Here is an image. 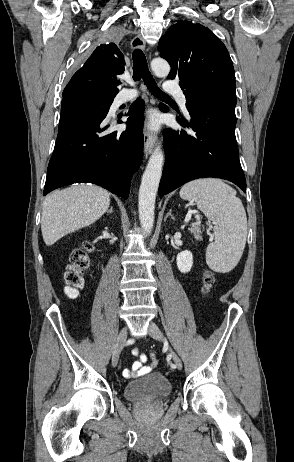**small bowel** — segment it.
Masks as SVG:
<instances>
[{
	"label": "small bowel",
	"mask_w": 294,
	"mask_h": 462,
	"mask_svg": "<svg viewBox=\"0 0 294 462\" xmlns=\"http://www.w3.org/2000/svg\"><path fill=\"white\" fill-rule=\"evenodd\" d=\"M133 355L138 357V360H136L132 367L130 369H124L123 370V376L125 378H133V377H138L145 375L149 373L152 369V365L146 364L147 362V357L144 354H139L137 350L133 351Z\"/></svg>",
	"instance_id": "1"
}]
</instances>
